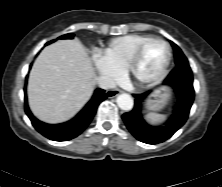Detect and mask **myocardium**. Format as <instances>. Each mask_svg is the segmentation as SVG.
<instances>
[{"mask_svg":"<svg viewBox=\"0 0 222 187\" xmlns=\"http://www.w3.org/2000/svg\"><path fill=\"white\" fill-rule=\"evenodd\" d=\"M154 41H159L163 44H165V46L168 49V57L166 60V63L163 67V69L154 77L150 78V79H141L139 77H137L136 75V68L140 62V59L142 57V54L144 52V49L146 48V46ZM173 58V51H172V47L170 45V43L168 41H166L165 39L161 38V37H149L148 39H146L145 41H143L134 51V53L132 54L126 68H125V73L127 75V77L134 82L135 84L141 85V86H151L156 84L157 82H159L167 73L171 61Z\"/></svg>","mask_w":222,"mask_h":187,"instance_id":"obj_1","label":"myocardium"}]
</instances>
